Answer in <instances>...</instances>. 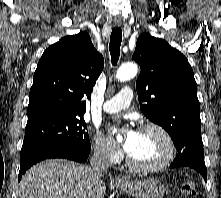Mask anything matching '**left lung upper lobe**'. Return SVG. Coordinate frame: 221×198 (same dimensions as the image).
Masks as SVG:
<instances>
[{"mask_svg": "<svg viewBox=\"0 0 221 198\" xmlns=\"http://www.w3.org/2000/svg\"><path fill=\"white\" fill-rule=\"evenodd\" d=\"M132 58L141 68L136 90L143 114L169 133L178 154H204L197 84L186 57L143 33Z\"/></svg>", "mask_w": 221, "mask_h": 198, "instance_id": "1", "label": "left lung upper lobe"}]
</instances>
